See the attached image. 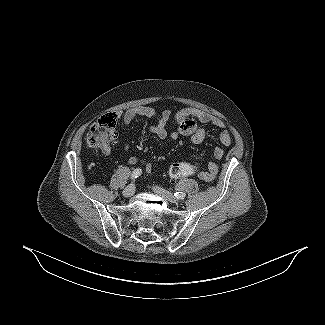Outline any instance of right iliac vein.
Instances as JSON below:
<instances>
[{"label":"right iliac vein","mask_w":325,"mask_h":325,"mask_svg":"<svg viewBox=\"0 0 325 325\" xmlns=\"http://www.w3.org/2000/svg\"><path fill=\"white\" fill-rule=\"evenodd\" d=\"M135 193V185H128L122 192L124 197H131Z\"/></svg>","instance_id":"right-iliac-vein-1"}]
</instances>
